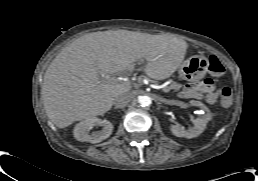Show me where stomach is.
I'll return each mask as SVG.
<instances>
[{
  "label": "stomach",
  "instance_id": "stomach-1",
  "mask_svg": "<svg viewBox=\"0 0 258 181\" xmlns=\"http://www.w3.org/2000/svg\"><path fill=\"white\" fill-rule=\"evenodd\" d=\"M209 61L202 55H193L183 61L178 68L179 76L187 81H192L205 76Z\"/></svg>",
  "mask_w": 258,
  "mask_h": 181
}]
</instances>
